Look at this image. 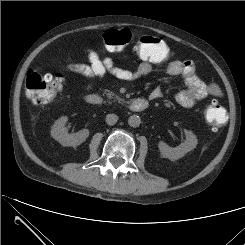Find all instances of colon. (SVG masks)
Wrapping results in <instances>:
<instances>
[{
  "mask_svg": "<svg viewBox=\"0 0 245 245\" xmlns=\"http://www.w3.org/2000/svg\"><path fill=\"white\" fill-rule=\"evenodd\" d=\"M103 43L112 50H122L135 44L139 58L149 63H163L170 58L168 46L161 39L142 35L135 37L128 29H110L103 33ZM25 85L29 99L36 104L51 103L63 85L60 74H40L30 69L26 74ZM204 116L208 127L217 131L226 122L227 112L216 100L207 103Z\"/></svg>",
  "mask_w": 245,
  "mask_h": 245,
  "instance_id": "1",
  "label": "colon"
}]
</instances>
